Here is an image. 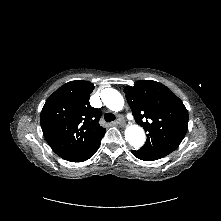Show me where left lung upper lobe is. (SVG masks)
Listing matches in <instances>:
<instances>
[{"label": "left lung upper lobe", "instance_id": "left-lung-upper-lobe-1", "mask_svg": "<svg viewBox=\"0 0 221 221\" xmlns=\"http://www.w3.org/2000/svg\"><path fill=\"white\" fill-rule=\"evenodd\" d=\"M137 124L147 132L145 145L138 151L162 158L182 142L188 128V111L183 102L165 85L141 80L124 88Z\"/></svg>", "mask_w": 221, "mask_h": 221}]
</instances>
